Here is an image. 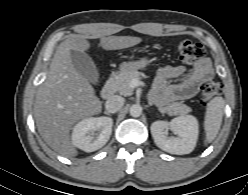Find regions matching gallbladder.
<instances>
[{
  "instance_id": "gallbladder-1",
  "label": "gallbladder",
  "mask_w": 248,
  "mask_h": 195,
  "mask_svg": "<svg viewBox=\"0 0 248 195\" xmlns=\"http://www.w3.org/2000/svg\"><path fill=\"white\" fill-rule=\"evenodd\" d=\"M70 57L75 70L89 82L96 84L99 73L92 58L85 52L70 51Z\"/></svg>"
}]
</instances>
